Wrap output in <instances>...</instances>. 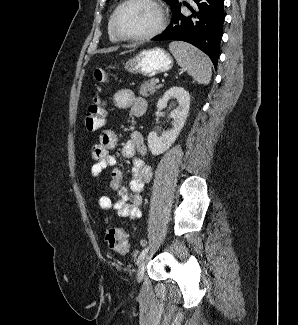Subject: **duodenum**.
I'll return each instance as SVG.
<instances>
[{
	"label": "duodenum",
	"mask_w": 298,
	"mask_h": 325,
	"mask_svg": "<svg viewBox=\"0 0 298 325\" xmlns=\"http://www.w3.org/2000/svg\"><path fill=\"white\" fill-rule=\"evenodd\" d=\"M145 111H146V107H145V106H142V107H140V108L138 109L137 114H138V115H142V114L145 113Z\"/></svg>",
	"instance_id": "obj_1"
}]
</instances>
